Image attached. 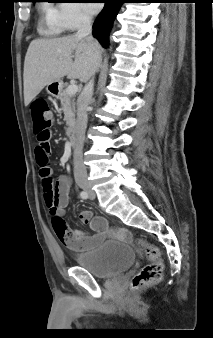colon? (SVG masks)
<instances>
[{"label":"colon","instance_id":"1","mask_svg":"<svg viewBox=\"0 0 213 338\" xmlns=\"http://www.w3.org/2000/svg\"><path fill=\"white\" fill-rule=\"evenodd\" d=\"M31 111L34 117L33 130L36 138L40 143H44L50 137V126L52 122V116L47 103L42 99L35 100L31 104ZM36 160L39 167V176L41 178L45 206L48 209L55 228L57 230H62L63 222L57 215L54 180L51 175L48 157L42 155L39 151H36ZM102 226L103 224L101 222H95L93 224L94 229H99ZM136 244L143 249L146 256V263L140 272L134 276L132 285L135 288L154 285L163 277L164 265L160 251L157 247L146 243L142 239H138Z\"/></svg>","mask_w":213,"mask_h":338}]
</instances>
